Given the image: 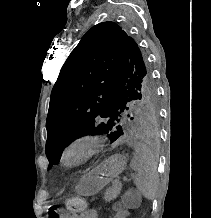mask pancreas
Returning <instances> with one entry per match:
<instances>
[{
  "label": "pancreas",
  "instance_id": "obj_1",
  "mask_svg": "<svg viewBox=\"0 0 211 218\" xmlns=\"http://www.w3.org/2000/svg\"><path fill=\"white\" fill-rule=\"evenodd\" d=\"M122 186L123 184H121V182H118V180H114V182H112L111 188H108V190H106L104 194V200H106V202H111V200H115V198H118Z\"/></svg>",
  "mask_w": 211,
  "mask_h": 218
}]
</instances>
